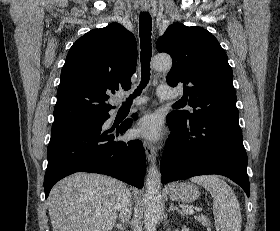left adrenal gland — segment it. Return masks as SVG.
I'll use <instances>...</instances> for the list:
<instances>
[{"instance_id":"1","label":"left adrenal gland","mask_w":280,"mask_h":231,"mask_svg":"<svg viewBox=\"0 0 280 231\" xmlns=\"http://www.w3.org/2000/svg\"><path fill=\"white\" fill-rule=\"evenodd\" d=\"M168 211H178V213H181V215H184L182 209H179V207H176V205H174V203H171Z\"/></svg>"}]
</instances>
